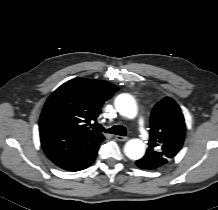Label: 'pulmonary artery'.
<instances>
[{
	"mask_svg": "<svg viewBox=\"0 0 218 210\" xmlns=\"http://www.w3.org/2000/svg\"><path fill=\"white\" fill-rule=\"evenodd\" d=\"M137 126H138V129L140 130V132L141 133H143V134H147L146 133V128H145V122H144V119H143V117H138V119H137Z\"/></svg>",
	"mask_w": 218,
	"mask_h": 210,
	"instance_id": "pulmonary-artery-1",
	"label": "pulmonary artery"
}]
</instances>
